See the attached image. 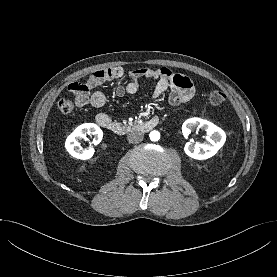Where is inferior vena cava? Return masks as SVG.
<instances>
[{"label":"inferior vena cava","instance_id":"602c4592","mask_svg":"<svg viewBox=\"0 0 277 277\" xmlns=\"http://www.w3.org/2000/svg\"><path fill=\"white\" fill-rule=\"evenodd\" d=\"M143 138H144V135L140 132H131L127 136L129 143H134V144L141 142Z\"/></svg>","mask_w":277,"mask_h":277}]
</instances>
